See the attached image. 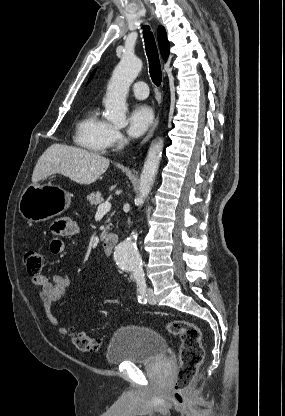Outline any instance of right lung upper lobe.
<instances>
[{"label":"right lung upper lobe","mask_w":285,"mask_h":416,"mask_svg":"<svg viewBox=\"0 0 285 416\" xmlns=\"http://www.w3.org/2000/svg\"><path fill=\"white\" fill-rule=\"evenodd\" d=\"M158 43L161 52V56L166 60L169 56L170 45L167 40V34L163 26L158 27ZM94 72L91 74L89 80L93 77Z\"/></svg>","instance_id":"cb5924a9"}]
</instances>
